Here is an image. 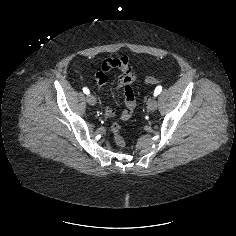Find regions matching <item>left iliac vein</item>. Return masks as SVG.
<instances>
[{
  "label": "left iliac vein",
  "instance_id": "4c4485c4",
  "mask_svg": "<svg viewBox=\"0 0 236 236\" xmlns=\"http://www.w3.org/2000/svg\"><path fill=\"white\" fill-rule=\"evenodd\" d=\"M157 106H158V104H157V101L155 99H151L148 103V109L150 111H155L157 109Z\"/></svg>",
  "mask_w": 236,
  "mask_h": 236
}]
</instances>
